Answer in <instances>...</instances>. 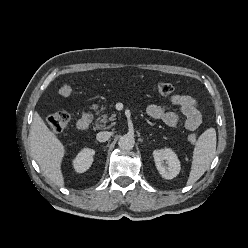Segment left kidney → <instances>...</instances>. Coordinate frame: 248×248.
Instances as JSON below:
<instances>
[{"label":"left kidney","mask_w":248,"mask_h":248,"mask_svg":"<svg viewBox=\"0 0 248 248\" xmlns=\"http://www.w3.org/2000/svg\"><path fill=\"white\" fill-rule=\"evenodd\" d=\"M153 157L155 166L163 178L173 179L179 174L180 161L170 148L153 151Z\"/></svg>","instance_id":"1"}]
</instances>
